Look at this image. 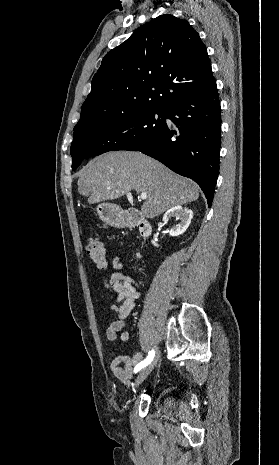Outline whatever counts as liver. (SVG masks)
I'll return each mask as SVG.
<instances>
[{"mask_svg": "<svg viewBox=\"0 0 279 465\" xmlns=\"http://www.w3.org/2000/svg\"><path fill=\"white\" fill-rule=\"evenodd\" d=\"M145 192L141 215L154 218L166 210L195 201L199 187L140 152L111 151L91 160L79 172L78 192L89 204Z\"/></svg>", "mask_w": 279, "mask_h": 465, "instance_id": "6515ba94", "label": "liver"}]
</instances>
